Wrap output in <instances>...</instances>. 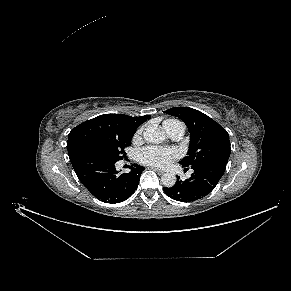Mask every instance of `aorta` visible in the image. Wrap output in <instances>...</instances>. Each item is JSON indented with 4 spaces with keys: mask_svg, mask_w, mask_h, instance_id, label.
<instances>
[{
    "mask_svg": "<svg viewBox=\"0 0 291 291\" xmlns=\"http://www.w3.org/2000/svg\"><path fill=\"white\" fill-rule=\"evenodd\" d=\"M144 139L153 144L162 143L165 140V133L155 125H149L143 132ZM161 182L165 187H173L176 183V176L173 173H165L161 177Z\"/></svg>",
    "mask_w": 291,
    "mask_h": 291,
    "instance_id": "obj_1",
    "label": "aorta"
}]
</instances>
